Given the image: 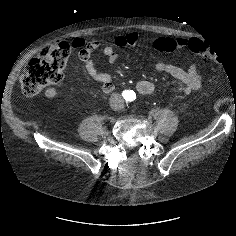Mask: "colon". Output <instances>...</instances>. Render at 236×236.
Returning a JSON list of instances; mask_svg holds the SVG:
<instances>
[{
    "instance_id": "5ec220e1",
    "label": "colon",
    "mask_w": 236,
    "mask_h": 236,
    "mask_svg": "<svg viewBox=\"0 0 236 236\" xmlns=\"http://www.w3.org/2000/svg\"><path fill=\"white\" fill-rule=\"evenodd\" d=\"M155 47L158 51L169 52L174 50L176 45L173 39L160 38L155 42ZM189 48L204 58L210 57L213 60H218L222 56L220 48H212L197 39L190 42ZM71 51V46L67 42H57L44 47L39 57L29 61L19 78L22 92L26 96H33L40 93L44 88L59 83L63 78V72Z\"/></svg>"
}]
</instances>
